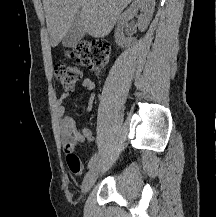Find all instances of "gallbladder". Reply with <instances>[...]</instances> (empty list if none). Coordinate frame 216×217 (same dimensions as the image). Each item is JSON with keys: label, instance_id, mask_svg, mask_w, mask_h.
Instances as JSON below:
<instances>
[{"label": "gallbladder", "instance_id": "gallbladder-1", "mask_svg": "<svg viewBox=\"0 0 216 217\" xmlns=\"http://www.w3.org/2000/svg\"><path fill=\"white\" fill-rule=\"evenodd\" d=\"M85 35L79 15L72 22L68 32L62 39L64 47H74Z\"/></svg>", "mask_w": 216, "mask_h": 217}]
</instances>
